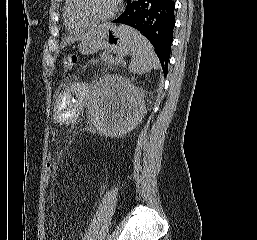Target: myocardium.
<instances>
[{
	"mask_svg": "<svg viewBox=\"0 0 257 240\" xmlns=\"http://www.w3.org/2000/svg\"><path fill=\"white\" fill-rule=\"evenodd\" d=\"M72 1H73V13H74L75 17L79 21L89 24V25L103 23V22H106V21L112 19L118 12L119 5H120V0H116L115 6L108 14L101 16V17H93V16L86 14L82 10V7H81L82 0H72Z\"/></svg>",
	"mask_w": 257,
	"mask_h": 240,
	"instance_id": "myocardium-1",
	"label": "myocardium"
}]
</instances>
